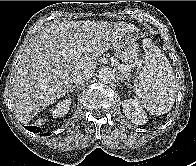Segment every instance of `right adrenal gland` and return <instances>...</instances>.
Segmentation results:
<instances>
[{"instance_id":"1","label":"right adrenal gland","mask_w":196,"mask_h":166,"mask_svg":"<svg viewBox=\"0 0 196 166\" xmlns=\"http://www.w3.org/2000/svg\"><path fill=\"white\" fill-rule=\"evenodd\" d=\"M82 88H83V85L76 84L71 87L70 92H73L74 90H77V89L81 90Z\"/></svg>"}]
</instances>
